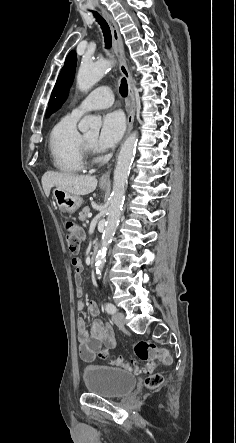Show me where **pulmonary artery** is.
<instances>
[{"mask_svg":"<svg viewBox=\"0 0 236 443\" xmlns=\"http://www.w3.org/2000/svg\"><path fill=\"white\" fill-rule=\"evenodd\" d=\"M114 97L110 87L102 86L91 91L73 110V115L79 117L89 110L109 107Z\"/></svg>","mask_w":236,"mask_h":443,"instance_id":"e3ab8cb5","label":"pulmonary artery"}]
</instances>
